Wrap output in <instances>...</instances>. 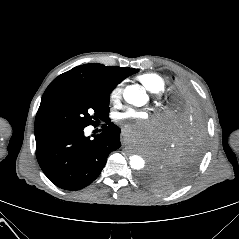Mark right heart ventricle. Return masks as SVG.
Segmentation results:
<instances>
[{"instance_id": "1", "label": "right heart ventricle", "mask_w": 239, "mask_h": 239, "mask_svg": "<svg viewBox=\"0 0 239 239\" xmlns=\"http://www.w3.org/2000/svg\"><path fill=\"white\" fill-rule=\"evenodd\" d=\"M137 79L152 93H160L165 88L164 79L156 73H144L139 75Z\"/></svg>"}]
</instances>
